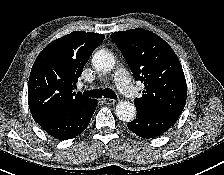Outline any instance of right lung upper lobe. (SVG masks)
<instances>
[{
	"label": "right lung upper lobe",
	"instance_id": "cb5924a9",
	"mask_svg": "<svg viewBox=\"0 0 224 175\" xmlns=\"http://www.w3.org/2000/svg\"><path fill=\"white\" fill-rule=\"evenodd\" d=\"M105 36L72 32L51 42L35 60L28 83V103L37 123L94 100L73 91L83 67Z\"/></svg>",
	"mask_w": 224,
	"mask_h": 175
}]
</instances>
